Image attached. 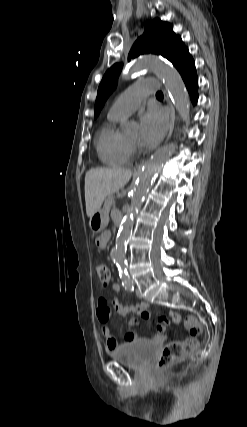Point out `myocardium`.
I'll use <instances>...</instances> for the list:
<instances>
[{
	"label": "myocardium",
	"instance_id": "myocardium-1",
	"mask_svg": "<svg viewBox=\"0 0 247 427\" xmlns=\"http://www.w3.org/2000/svg\"><path fill=\"white\" fill-rule=\"evenodd\" d=\"M127 142V145H128V147H129V149L131 150V151H133V150H135L136 149V145H135V143H131V142H129V141H126Z\"/></svg>",
	"mask_w": 247,
	"mask_h": 427
}]
</instances>
